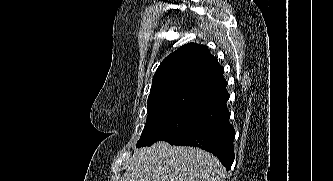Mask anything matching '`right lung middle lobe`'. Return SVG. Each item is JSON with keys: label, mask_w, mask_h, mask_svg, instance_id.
I'll use <instances>...</instances> for the list:
<instances>
[{"label": "right lung middle lobe", "mask_w": 333, "mask_h": 181, "mask_svg": "<svg viewBox=\"0 0 333 181\" xmlns=\"http://www.w3.org/2000/svg\"><path fill=\"white\" fill-rule=\"evenodd\" d=\"M207 110L188 106H164L148 109V117L137 147L156 141H170L191 129Z\"/></svg>", "instance_id": "1"}]
</instances>
